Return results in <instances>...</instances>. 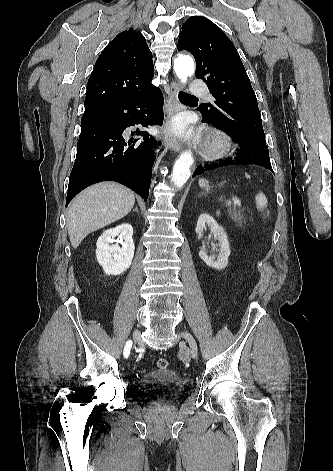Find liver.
Segmentation results:
<instances>
[{"mask_svg": "<svg viewBox=\"0 0 333 471\" xmlns=\"http://www.w3.org/2000/svg\"><path fill=\"white\" fill-rule=\"evenodd\" d=\"M135 203L133 191L114 183L102 182L79 193L67 212V229L71 244L77 248L91 232L126 216Z\"/></svg>", "mask_w": 333, "mask_h": 471, "instance_id": "1", "label": "liver"}]
</instances>
